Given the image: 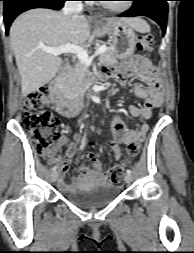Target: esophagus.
<instances>
[{
	"mask_svg": "<svg viewBox=\"0 0 194 253\" xmlns=\"http://www.w3.org/2000/svg\"><path fill=\"white\" fill-rule=\"evenodd\" d=\"M90 18H94V16H90Z\"/></svg>",
	"mask_w": 194,
	"mask_h": 253,
	"instance_id": "1",
	"label": "esophagus"
}]
</instances>
